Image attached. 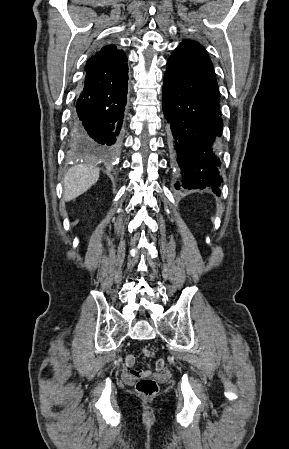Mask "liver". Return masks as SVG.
<instances>
[{"instance_id":"1","label":"liver","mask_w":289,"mask_h":449,"mask_svg":"<svg viewBox=\"0 0 289 449\" xmlns=\"http://www.w3.org/2000/svg\"><path fill=\"white\" fill-rule=\"evenodd\" d=\"M99 179V169L80 164L70 168L63 179L64 200L71 201L85 193Z\"/></svg>"}]
</instances>
